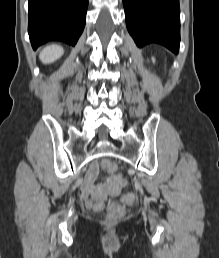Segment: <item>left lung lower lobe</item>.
Masks as SVG:
<instances>
[{"label": "left lung lower lobe", "instance_id": "left-lung-lower-lobe-1", "mask_svg": "<svg viewBox=\"0 0 219 258\" xmlns=\"http://www.w3.org/2000/svg\"><path fill=\"white\" fill-rule=\"evenodd\" d=\"M127 29L138 47L158 43L177 54L179 0H123Z\"/></svg>", "mask_w": 219, "mask_h": 258}]
</instances>
